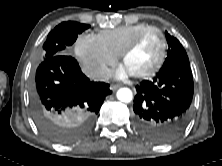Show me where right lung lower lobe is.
<instances>
[{"instance_id": "98d812e1", "label": "right lung lower lobe", "mask_w": 222, "mask_h": 166, "mask_svg": "<svg viewBox=\"0 0 222 166\" xmlns=\"http://www.w3.org/2000/svg\"><path fill=\"white\" fill-rule=\"evenodd\" d=\"M111 92L108 83L90 81L74 58L59 54L43 60L36 70L31 92L33 116L35 121L44 118L62 143L73 142L89 128Z\"/></svg>"}]
</instances>
